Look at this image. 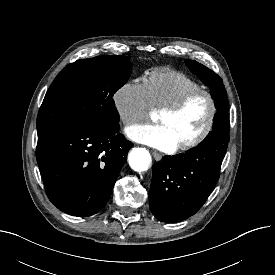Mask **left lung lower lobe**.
<instances>
[{
	"instance_id": "0a47b994",
	"label": "left lung lower lobe",
	"mask_w": 275,
	"mask_h": 275,
	"mask_svg": "<svg viewBox=\"0 0 275 275\" xmlns=\"http://www.w3.org/2000/svg\"><path fill=\"white\" fill-rule=\"evenodd\" d=\"M228 143H200L185 154L165 156L152 166L149 204L162 222L175 223L194 215L205 203L219 175Z\"/></svg>"
}]
</instances>
